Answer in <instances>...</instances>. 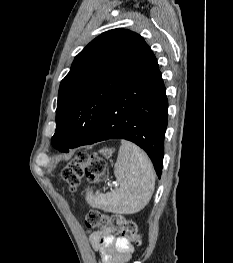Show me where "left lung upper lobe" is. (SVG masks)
I'll list each match as a JSON object with an SVG mask.
<instances>
[{"label": "left lung upper lobe", "mask_w": 233, "mask_h": 263, "mask_svg": "<svg viewBox=\"0 0 233 263\" xmlns=\"http://www.w3.org/2000/svg\"><path fill=\"white\" fill-rule=\"evenodd\" d=\"M149 46L126 29L107 31L74 59L61 81L53 137L83 142Z\"/></svg>", "instance_id": "5c2ea615"}]
</instances>
